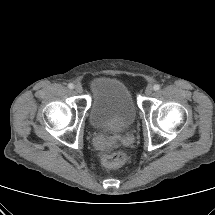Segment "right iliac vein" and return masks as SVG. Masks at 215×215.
<instances>
[{"instance_id":"63e3f726","label":"right iliac vein","mask_w":215,"mask_h":215,"mask_svg":"<svg viewBox=\"0 0 215 215\" xmlns=\"http://www.w3.org/2000/svg\"><path fill=\"white\" fill-rule=\"evenodd\" d=\"M74 89H75V91H76L77 93H82V92H83V88H82L81 85H76V86L74 87Z\"/></svg>"}]
</instances>
